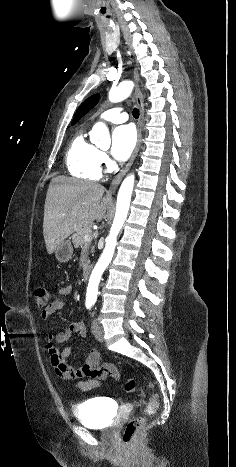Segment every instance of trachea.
Returning a JSON list of instances; mask_svg holds the SVG:
<instances>
[{
    "instance_id": "trachea-1",
    "label": "trachea",
    "mask_w": 236,
    "mask_h": 467,
    "mask_svg": "<svg viewBox=\"0 0 236 467\" xmlns=\"http://www.w3.org/2000/svg\"><path fill=\"white\" fill-rule=\"evenodd\" d=\"M132 115L134 118L137 119L139 117V110L137 108H134L132 111Z\"/></svg>"
}]
</instances>
